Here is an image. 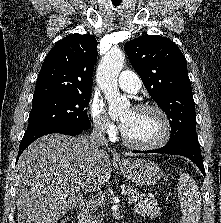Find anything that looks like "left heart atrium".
Returning a JSON list of instances; mask_svg holds the SVG:
<instances>
[{
	"mask_svg": "<svg viewBox=\"0 0 221 223\" xmlns=\"http://www.w3.org/2000/svg\"><path fill=\"white\" fill-rule=\"evenodd\" d=\"M121 126H122V129H124V127H125V123L122 122Z\"/></svg>",
	"mask_w": 221,
	"mask_h": 223,
	"instance_id": "39dd6f15",
	"label": "left heart atrium"
}]
</instances>
